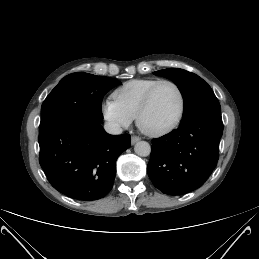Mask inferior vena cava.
<instances>
[{
  "label": "inferior vena cava",
  "mask_w": 259,
  "mask_h": 259,
  "mask_svg": "<svg viewBox=\"0 0 259 259\" xmlns=\"http://www.w3.org/2000/svg\"><path fill=\"white\" fill-rule=\"evenodd\" d=\"M104 129L109 134H121L122 133L121 126L116 122H106L104 124Z\"/></svg>",
  "instance_id": "1"
}]
</instances>
